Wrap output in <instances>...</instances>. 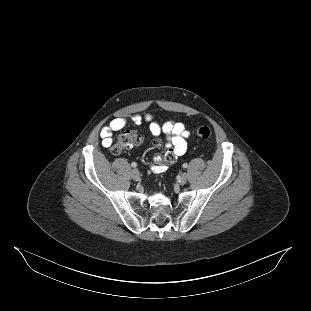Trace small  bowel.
I'll use <instances>...</instances> for the list:
<instances>
[{
	"mask_svg": "<svg viewBox=\"0 0 311 311\" xmlns=\"http://www.w3.org/2000/svg\"><path fill=\"white\" fill-rule=\"evenodd\" d=\"M145 120L150 121L147 116ZM134 124H140L142 118L139 115L132 117ZM126 120L124 118H115L107 126H105L101 132L100 137L104 147H110L113 140V133L123 129L126 126ZM150 131L154 135H159L161 132L166 134V143L169 148L166 153L155 156L156 164L152 167V171L160 173L165 170V163H174L178 157L182 156L187 150V138L190 136V131L186 129L185 125L181 122L169 120L163 125H159L156 122H150Z\"/></svg>",
	"mask_w": 311,
	"mask_h": 311,
	"instance_id": "small-bowel-1",
	"label": "small bowel"
}]
</instances>
